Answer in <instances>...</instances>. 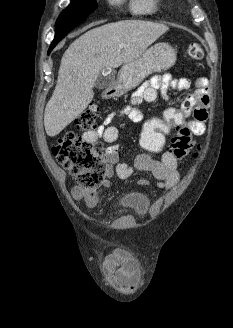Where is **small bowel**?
<instances>
[{"instance_id": "small-bowel-1", "label": "small bowel", "mask_w": 233, "mask_h": 328, "mask_svg": "<svg viewBox=\"0 0 233 328\" xmlns=\"http://www.w3.org/2000/svg\"><path fill=\"white\" fill-rule=\"evenodd\" d=\"M191 85L192 81L188 78L176 79L170 74L154 76L133 93L129 105L123 107L119 114L128 117L131 121L138 122L142 119L139 105L145 102H155L159 93L167 96L169 89L187 90ZM194 87V92L183 101L180 110L185 114L192 134L200 136L206 131L208 119V80L204 77L197 78L194 81ZM115 116L116 113L109 114L97 128L86 131L83 134V139L90 143H96L98 139L103 138L107 143H114L119 136L118 129L111 125ZM106 161L107 178L117 175L121 179H126L133 174L134 170L148 172L155 178L156 187L161 189H171L179 180L178 161L170 150L164 151L160 160L154 159L148 153L140 154L135 158L133 165H128L118 161V147L110 146L106 150ZM138 184L147 186L149 181L142 178L138 180ZM108 185L109 181L105 180L103 186L107 187ZM103 194L102 188L89 190L77 186L71 191L72 198L77 203L84 201L89 208L97 206ZM104 265L111 287L124 293L135 290L138 283L139 268L132 253L127 250H117L106 257Z\"/></svg>"}]
</instances>
